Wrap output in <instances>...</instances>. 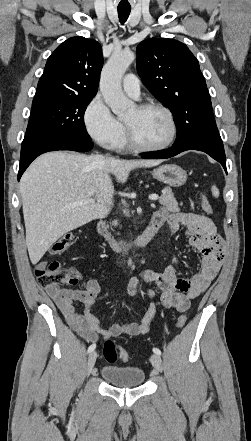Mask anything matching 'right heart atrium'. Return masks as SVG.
<instances>
[{
  "instance_id": "1",
  "label": "right heart atrium",
  "mask_w": 251,
  "mask_h": 441,
  "mask_svg": "<svg viewBox=\"0 0 251 441\" xmlns=\"http://www.w3.org/2000/svg\"><path fill=\"white\" fill-rule=\"evenodd\" d=\"M84 124L90 137L105 147H116L124 134L122 123L112 114L99 95L87 105Z\"/></svg>"
}]
</instances>
